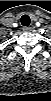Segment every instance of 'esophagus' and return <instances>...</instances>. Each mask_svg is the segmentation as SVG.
<instances>
[{"label":"esophagus","instance_id":"obj_1","mask_svg":"<svg viewBox=\"0 0 51 101\" xmlns=\"http://www.w3.org/2000/svg\"><path fill=\"white\" fill-rule=\"evenodd\" d=\"M32 27L31 26H28V27H23V31L25 32H29V31H32Z\"/></svg>","mask_w":51,"mask_h":101}]
</instances>
